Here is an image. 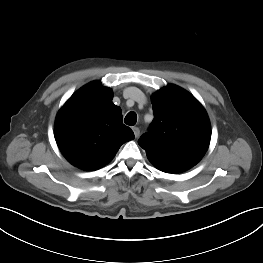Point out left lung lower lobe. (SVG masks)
Returning a JSON list of instances; mask_svg holds the SVG:
<instances>
[{
    "label": "left lung lower lobe",
    "mask_w": 263,
    "mask_h": 263,
    "mask_svg": "<svg viewBox=\"0 0 263 263\" xmlns=\"http://www.w3.org/2000/svg\"><path fill=\"white\" fill-rule=\"evenodd\" d=\"M148 159L157 169L167 173H179L191 168V166L162 162L153 158Z\"/></svg>",
    "instance_id": "obj_1"
}]
</instances>
